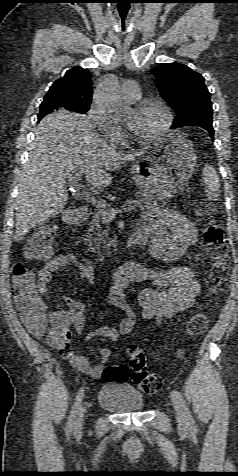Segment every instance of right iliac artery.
<instances>
[{"label": "right iliac artery", "mask_w": 238, "mask_h": 476, "mask_svg": "<svg viewBox=\"0 0 238 476\" xmlns=\"http://www.w3.org/2000/svg\"><path fill=\"white\" fill-rule=\"evenodd\" d=\"M83 397H84V388L82 387L78 394H77V397H76V401L72 407V411L70 413V416H69V419H68V423H67V427H66V434L67 436H70L72 430H73V427L75 425V420H76V417L81 409V403H82V400H83Z\"/></svg>", "instance_id": "1"}]
</instances>
